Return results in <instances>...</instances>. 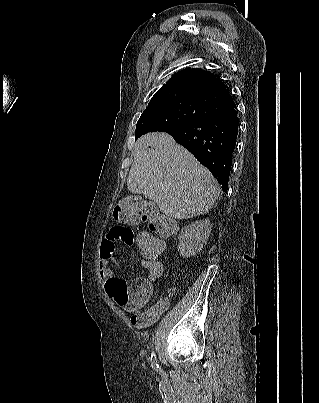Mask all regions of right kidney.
Returning <instances> with one entry per match:
<instances>
[{
	"label": "right kidney",
	"mask_w": 319,
	"mask_h": 403,
	"mask_svg": "<svg viewBox=\"0 0 319 403\" xmlns=\"http://www.w3.org/2000/svg\"><path fill=\"white\" fill-rule=\"evenodd\" d=\"M212 225L209 219L193 222L184 228L178 237V251L182 257L195 256L206 245Z\"/></svg>",
	"instance_id": "right-kidney-1"
}]
</instances>
